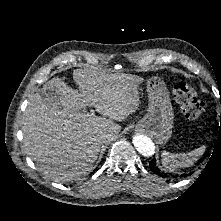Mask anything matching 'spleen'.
Wrapping results in <instances>:
<instances>
[{
    "mask_svg": "<svg viewBox=\"0 0 221 221\" xmlns=\"http://www.w3.org/2000/svg\"><path fill=\"white\" fill-rule=\"evenodd\" d=\"M206 147L201 146L189 153L162 152L161 161L165 170L172 171L176 168L189 167L201 157Z\"/></svg>",
    "mask_w": 221,
    "mask_h": 221,
    "instance_id": "1",
    "label": "spleen"
}]
</instances>
